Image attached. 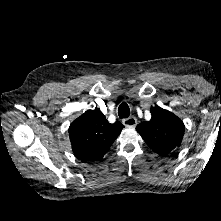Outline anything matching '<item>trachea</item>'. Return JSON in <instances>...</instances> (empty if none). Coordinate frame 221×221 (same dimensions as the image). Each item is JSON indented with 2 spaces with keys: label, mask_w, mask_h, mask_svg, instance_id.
I'll list each match as a JSON object with an SVG mask.
<instances>
[{
  "label": "trachea",
  "mask_w": 221,
  "mask_h": 221,
  "mask_svg": "<svg viewBox=\"0 0 221 221\" xmlns=\"http://www.w3.org/2000/svg\"><path fill=\"white\" fill-rule=\"evenodd\" d=\"M118 115H119V118H127L129 117L130 115V109H129V106L128 104L126 103H122L119 108H118Z\"/></svg>",
  "instance_id": "3493384b"
}]
</instances>
